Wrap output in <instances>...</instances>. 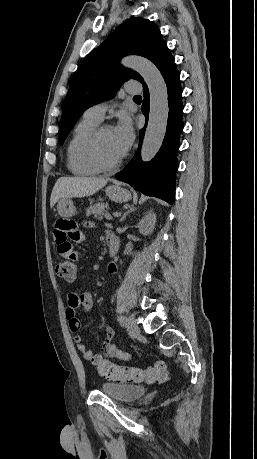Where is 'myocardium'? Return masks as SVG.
I'll use <instances>...</instances> for the list:
<instances>
[{
    "instance_id": "myocardium-1",
    "label": "myocardium",
    "mask_w": 257,
    "mask_h": 459,
    "mask_svg": "<svg viewBox=\"0 0 257 459\" xmlns=\"http://www.w3.org/2000/svg\"><path fill=\"white\" fill-rule=\"evenodd\" d=\"M111 128L112 127L109 124L98 125L92 131V133L89 135V137H88V139H87V141L85 143L84 151H85L86 158L88 159V161L93 166H95L96 168H98L101 171L115 170L116 168H118L121 165V163H122V161L124 159V155H122L116 161L111 162V163H107L100 156L99 148H98L100 137H101V135L103 134L104 131H106L108 129H111Z\"/></svg>"
}]
</instances>
